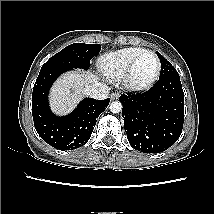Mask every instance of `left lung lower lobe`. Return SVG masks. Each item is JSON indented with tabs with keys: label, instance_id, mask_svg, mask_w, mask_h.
<instances>
[{
	"label": "left lung lower lobe",
	"instance_id": "left-lung-lower-lobe-1",
	"mask_svg": "<svg viewBox=\"0 0 214 214\" xmlns=\"http://www.w3.org/2000/svg\"><path fill=\"white\" fill-rule=\"evenodd\" d=\"M124 128L130 145L144 153H159L180 137L184 123V93L179 76L159 78L144 93L120 96Z\"/></svg>",
	"mask_w": 214,
	"mask_h": 214
}]
</instances>
